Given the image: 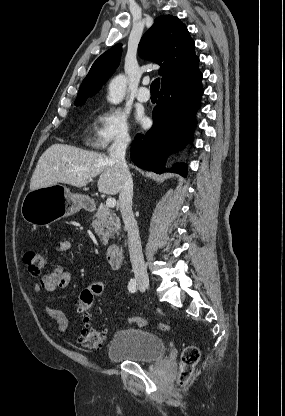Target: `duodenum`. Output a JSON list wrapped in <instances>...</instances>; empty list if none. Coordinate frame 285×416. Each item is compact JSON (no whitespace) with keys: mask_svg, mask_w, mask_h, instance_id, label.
<instances>
[{"mask_svg":"<svg viewBox=\"0 0 285 416\" xmlns=\"http://www.w3.org/2000/svg\"><path fill=\"white\" fill-rule=\"evenodd\" d=\"M81 203L89 210L94 209L96 199L94 197H87L85 194L80 196ZM124 245L120 242L110 244L106 249V257L109 267L113 270H118L122 266Z\"/></svg>","mask_w":285,"mask_h":416,"instance_id":"1","label":"duodenum"}]
</instances>
